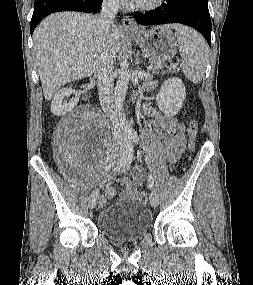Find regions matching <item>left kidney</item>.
Masks as SVG:
<instances>
[{
	"mask_svg": "<svg viewBox=\"0 0 253 285\" xmlns=\"http://www.w3.org/2000/svg\"><path fill=\"white\" fill-rule=\"evenodd\" d=\"M185 98L186 88L182 80L178 77L170 78L161 85L156 103L166 116H174L181 109Z\"/></svg>",
	"mask_w": 253,
	"mask_h": 285,
	"instance_id": "obj_1",
	"label": "left kidney"
}]
</instances>
